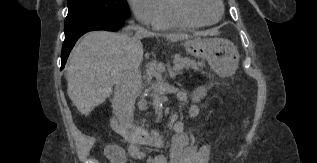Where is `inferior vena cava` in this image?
Returning a JSON list of instances; mask_svg holds the SVG:
<instances>
[{
    "label": "inferior vena cava",
    "instance_id": "inferior-vena-cava-1",
    "mask_svg": "<svg viewBox=\"0 0 317 163\" xmlns=\"http://www.w3.org/2000/svg\"><path fill=\"white\" fill-rule=\"evenodd\" d=\"M134 30L135 35L143 37L148 31L139 25H129L126 31ZM140 85V74L138 70L129 66L121 72L115 83L112 107L118 119L127 127L132 126L135 100Z\"/></svg>",
    "mask_w": 317,
    "mask_h": 163
}]
</instances>
